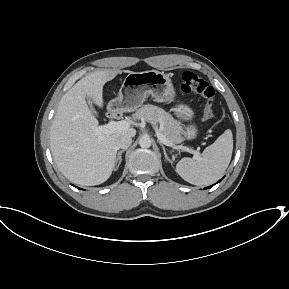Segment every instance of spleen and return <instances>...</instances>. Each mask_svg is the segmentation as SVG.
Returning <instances> with one entry per match:
<instances>
[{
  "label": "spleen",
  "instance_id": "1",
  "mask_svg": "<svg viewBox=\"0 0 289 289\" xmlns=\"http://www.w3.org/2000/svg\"><path fill=\"white\" fill-rule=\"evenodd\" d=\"M232 151L233 135L227 129L203 151L202 157L182 158L176 165V171L181 178L193 185H209L223 175L230 163Z\"/></svg>",
  "mask_w": 289,
  "mask_h": 289
}]
</instances>
